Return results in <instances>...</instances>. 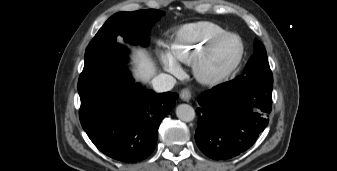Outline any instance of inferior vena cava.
I'll use <instances>...</instances> for the list:
<instances>
[{
	"label": "inferior vena cava",
	"mask_w": 337,
	"mask_h": 171,
	"mask_svg": "<svg viewBox=\"0 0 337 171\" xmlns=\"http://www.w3.org/2000/svg\"><path fill=\"white\" fill-rule=\"evenodd\" d=\"M151 83L156 92L162 93L170 91L174 87L176 79L169 74L161 73L153 78Z\"/></svg>",
	"instance_id": "inferior-vena-cava-1"
}]
</instances>
